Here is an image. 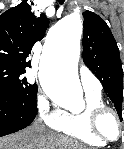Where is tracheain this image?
I'll return each mask as SVG.
<instances>
[{
	"label": "trachea",
	"mask_w": 124,
	"mask_h": 149,
	"mask_svg": "<svg viewBox=\"0 0 124 149\" xmlns=\"http://www.w3.org/2000/svg\"><path fill=\"white\" fill-rule=\"evenodd\" d=\"M58 2H59L60 4H63V3H64V0H58Z\"/></svg>",
	"instance_id": "trachea-1"
}]
</instances>
